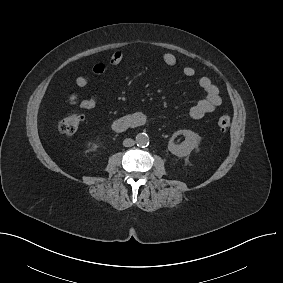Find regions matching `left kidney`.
Wrapping results in <instances>:
<instances>
[{"label":"left kidney","instance_id":"obj_1","mask_svg":"<svg viewBox=\"0 0 283 283\" xmlns=\"http://www.w3.org/2000/svg\"><path fill=\"white\" fill-rule=\"evenodd\" d=\"M180 134L185 137V141L181 144H175L174 138ZM200 139V136L191 130H178L170 139L168 143V150L178 157L188 156L191 151L198 146Z\"/></svg>","mask_w":283,"mask_h":283}]
</instances>
